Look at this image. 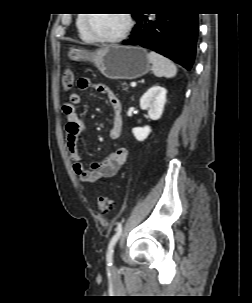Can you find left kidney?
Returning <instances> with one entry per match:
<instances>
[{
  "mask_svg": "<svg viewBox=\"0 0 252 303\" xmlns=\"http://www.w3.org/2000/svg\"><path fill=\"white\" fill-rule=\"evenodd\" d=\"M167 90L159 85H154L140 98V107L148 111L151 120H158L164 109ZM150 126L135 127L132 129L134 137L138 141H144L150 134Z\"/></svg>",
  "mask_w": 252,
  "mask_h": 303,
  "instance_id": "1",
  "label": "left kidney"
}]
</instances>
